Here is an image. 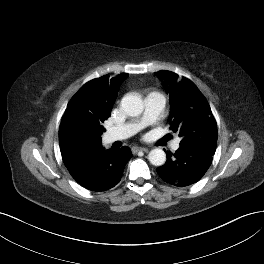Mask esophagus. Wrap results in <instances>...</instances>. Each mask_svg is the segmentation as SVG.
<instances>
[{"mask_svg": "<svg viewBox=\"0 0 264 264\" xmlns=\"http://www.w3.org/2000/svg\"><path fill=\"white\" fill-rule=\"evenodd\" d=\"M139 151L147 152L148 148H146V147H137V146L132 148V153H134V154L139 152Z\"/></svg>", "mask_w": 264, "mask_h": 264, "instance_id": "34e87169", "label": "esophagus"}]
</instances>
